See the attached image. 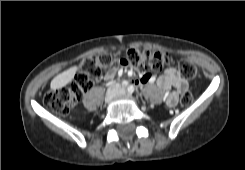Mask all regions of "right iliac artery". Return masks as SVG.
<instances>
[{
	"mask_svg": "<svg viewBox=\"0 0 245 170\" xmlns=\"http://www.w3.org/2000/svg\"><path fill=\"white\" fill-rule=\"evenodd\" d=\"M122 87L126 88L128 86V81H122L121 82Z\"/></svg>",
	"mask_w": 245,
	"mask_h": 170,
	"instance_id": "1",
	"label": "right iliac artery"
}]
</instances>
